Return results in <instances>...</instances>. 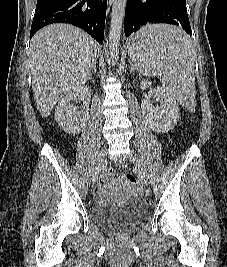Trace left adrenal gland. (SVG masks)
I'll return each instance as SVG.
<instances>
[{
	"label": "left adrenal gland",
	"mask_w": 227,
	"mask_h": 267,
	"mask_svg": "<svg viewBox=\"0 0 227 267\" xmlns=\"http://www.w3.org/2000/svg\"><path fill=\"white\" fill-rule=\"evenodd\" d=\"M129 63H130V67H129L130 70H132V71H133V70H136L135 67L133 66L132 62L130 61Z\"/></svg>",
	"instance_id": "1"
}]
</instances>
